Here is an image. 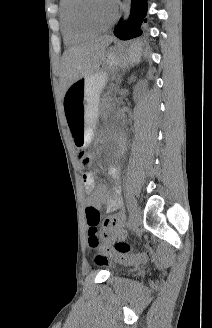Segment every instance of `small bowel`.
Wrapping results in <instances>:
<instances>
[{"mask_svg": "<svg viewBox=\"0 0 212 328\" xmlns=\"http://www.w3.org/2000/svg\"><path fill=\"white\" fill-rule=\"evenodd\" d=\"M118 172L119 170L116 166H111L108 169V174L113 179L117 178ZM83 182L85 189L89 193L88 205L97 210L104 206L107 212L113 213L103 222V236L105 240L111 242L116 238H123L125 236V230L123 229L125 216L121 212L122 199L119 189L116 188L115 192L111 193L105 185L96 183L93 173L89 170H86L84 173Z\"/></svg>", "mask_w": 212, "mask_h": 328, "instance_id": "c3829d8e", "label": "small bowel"}]
</instances>
